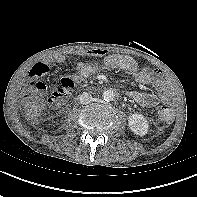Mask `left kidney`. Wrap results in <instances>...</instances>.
I'll use <instances>...</instances> for the list:
<instances>
[{
    "mask_svg": "<svg viewBox=\"0 0 197 197\" xmlns=\"http://www.w3.org/2000/svg\"><path fill=\"white\" fill-rule=\"evenodd\" d=\"M128 126L136 135L144 136L148 133L149 125L142 114H132L128 118Z\"/></svg>",
    "mask_w": 197,
    "mask_h": 197,
    "instance_id": "left-kidney-1",
    "label": "left kidney"
}]
</instances>
